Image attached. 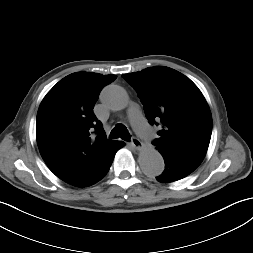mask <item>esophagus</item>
I'll use <instances>...</instances> for the list:
<instances>
[{"instance_id":"34e87169","label":"esophagus","mask_w":253,"mask_h":253,"mask_svg":"<svg viewBox=\"0 0 253 253\" xmlns=\"http://www.w3.org/2000/svg\"><path fill=\"white\" fill-rule=\"evenodd\" d=\"M131 145L137 150H140L143 147V143L136 137L132 138Z\"/></svg>"}]
</instances>
